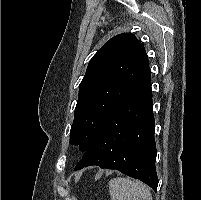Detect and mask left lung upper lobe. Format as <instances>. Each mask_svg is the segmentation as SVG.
<instances>
[{
	"instance_id": "left-lung-upper-lobe-1",
	"label": "left lung upper lobe",
	"mask_w": 201,
	"mask_h": 200,
	"mask_svg": "<svg viewBox=\"0 0 201 200\" xmlns=\"http://www.w3.org/2000/svg\"><path fill=\"white\" fill-rule=\"evenodd\" d=\"M149 74L148 56L135 35L122 33L107 41L79 85L70 143L86 151L109 113Z\"/></svg>"
}]
</instances>
